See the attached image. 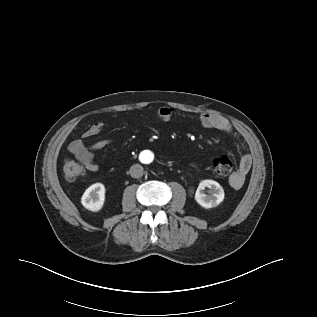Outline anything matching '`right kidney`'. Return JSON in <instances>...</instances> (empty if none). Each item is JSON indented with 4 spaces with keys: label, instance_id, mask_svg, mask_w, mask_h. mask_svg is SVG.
<instances>
[{
    "label": "right kidney",
    "instance_id": "ca27d5eb",
    "mask_svg": "<svg viewBox=\"0 0 317 317\" xmlns=\"http://www.w3.org/2000/svg\"><path fill=\"white\" fill-rule=\"evenodd\" d=\"M105 202V187L102 183H95L87 188L81 198L82 205L90 211H99Z\"/></svg>",
    "mask_w": 317,
    "mask_h": 317
}]
</instances>
